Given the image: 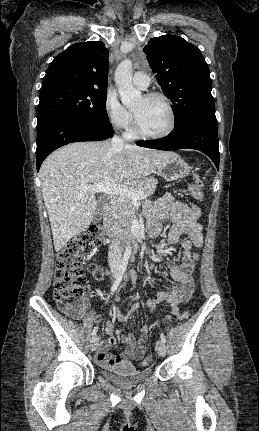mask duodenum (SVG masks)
I'll return each mask as SVG.
<instances>
[{
	"label": "duodenum",
	"mask_w": 259,
	"mask_h": 431,
	"mask_svg": "<svg viewBox=\"0 0 259 431\" xmlns=\"http://www.w3.org/2000/svg\"><path fill=\"white\" fill-rule=\"evenodd\" d=\"M112 211L113 203L109 202L105 205L103 210V226L107 235L108 243H114L118 238V234L113 223ZM137 237L138 231L137 229H134L131 234H126L123 237V246L132 251H136L138 249Z\"/></svg>",
	"instance_id": "obj_1"
}]
</instances>
